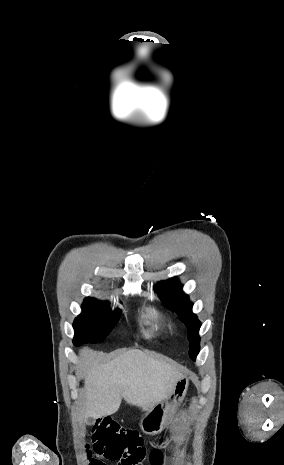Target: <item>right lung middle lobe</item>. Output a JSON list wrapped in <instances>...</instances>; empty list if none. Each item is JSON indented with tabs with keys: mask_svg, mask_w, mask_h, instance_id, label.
<instances>
[{
	"mask_svg": "<svg viewBox=\"0 0 284 465\" xmlns=\"http://www.w3.org/2000/svg\"><path fill=\"white\" fill-rule=\"evenodd\" d=\"M107 306V302H101L94 298L84 299L83 312L73 323L75 330L73 343L76 346L101 342L109 334L118 321L121 310L116 309L114 312L108 313L105 311Z\"/></svg>",
	"mask_w": 284,
	"mask_h": 465,
	"instance_id": "obj_1",
	"label": "right lung middle lobe"
}]
</instances>
